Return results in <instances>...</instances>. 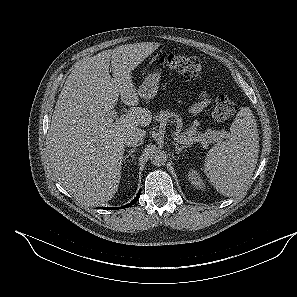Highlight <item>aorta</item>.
I'll list each match as a JSON object with an SVG mask.
<instances>
[{"instance_id":"aorta-1","label":"aorta","mask_w":297,"mask_h":297,"mask_svg":"<svg viewBox=\"0 0 297 297\" xmlns=\"http://www.w3.org/2000/svg\"><path fill=\"white\" fill-rule=\"evenodd\" d=\"M168 156L164 150H154L150 154L151 163L155 166H162L166 163Z\"/></svg>"}]
</instances>
